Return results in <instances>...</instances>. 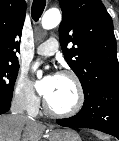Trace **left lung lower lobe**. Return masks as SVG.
<instances>
[{"label": "left lung lower lobe", "mask_w": 119, "mask_h": 141, "mask_svg": "<svg viewBox=\"0 0 119 141\" xmlns=\"http://www.w3.org/2000/svg\"><path fill=\"white\" fill-rule=\"evenodd\" d=\"M70 128H90L119 139V83L105 84L85 96L82 109L73 117L58 119Z\"/></svg>", "instance_id": "left-lung-lower-lobe-1"}]
</instances>
